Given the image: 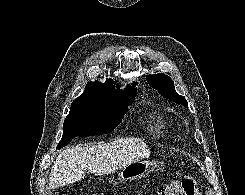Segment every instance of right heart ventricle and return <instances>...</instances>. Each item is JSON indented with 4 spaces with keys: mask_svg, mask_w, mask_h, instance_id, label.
<instances>
[{
    "mask_svg": "<svg viewBox=\"0 0 245 195\" xmlns=\"http://www.w3.org/2000/svg\"><path fill=\"white\" fill-rule=\"evenodd\" d=\"M149 131L156 135H163L167 131V122L163 114L152 112L148 116Z\"/></svg>",
    "mask_w": 245,
    "mask_h": 195,
    "instance_id": "e07e8e85",
    "label": "right heart ventricle"
}]
</instances>
